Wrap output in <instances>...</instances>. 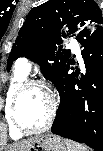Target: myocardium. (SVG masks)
<instances>
[{
	"mask_svg": "<svg viewBox=\"0 0 103 151\" xmlns=\"http://www.w3.org/2000/svg\"><path fill=\"white\" fill-rule=\"evenodd\" d=\"M31 88L41 89L46 94L49 103V112H48L47 120L43 126L36 129H29L24 127L17 118L18 102L21 96ZM57 108H58V101L56 95L48 85H46L43 81H39V80H27L17 89V91L13 95V98L10 103V119L13 126L19 132L23 134H37L48 130L52 126L54 119L56 117Z\"/></svg>",
	"mask_w": 103,
	"mask_h": 151,
	"instance_id": "myocardium-1",
	"label": "myocardium"
}]
</instances>
